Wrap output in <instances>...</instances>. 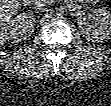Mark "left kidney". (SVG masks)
I'll list each match as a JSON object with an SVG mask.
<instances>
[{
  "label": "left kidney",
  "instance_id": "5707ae66",
  "mask_svg": "<svg viewBox=\"0 0 111 106\" xmlns=\"http://www.w3.org/2000/svg\"><path fill=\"white\" fill-rule=\"evenodd\" d=\"M93 25H89L86 16L78 17L77 23L82 34L92 42L111 40V13L103 8L95 9L91 16Z\"/></svg>",
  "mask_w": 111,
  "mask_h": 106
}]
</instances>
